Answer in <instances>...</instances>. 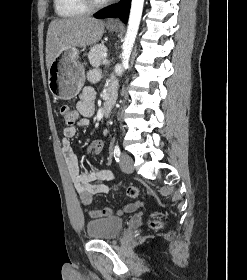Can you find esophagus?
<instances>
[{"mask_svg": "<svg viewBox=\"0 0 247 280\" xmlns=\"http://www.w3.org/2000/svg\"><path fill=\"white\" fill-rule=\"evenodd\" d=\"M118 23V19L116 18H111L109 21H108V24H117Z\"/></svg>", "mask_w": 247, "mask_h": 280, "instance_id": "obj_1", "label": "esophagus"}]
</instances>
